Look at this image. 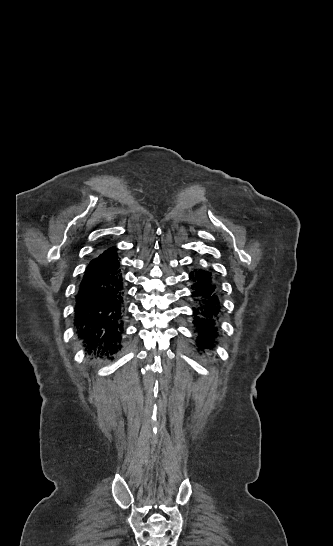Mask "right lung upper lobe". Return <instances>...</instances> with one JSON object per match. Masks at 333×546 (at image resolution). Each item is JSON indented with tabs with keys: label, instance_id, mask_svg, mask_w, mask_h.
<instances>
[{
	"label": "right lung upper lobe",
	"instance_id": "cb5924a9",
	"mask_svg": "<svg viewBox=\"0 0 333 546\" xmlns=\"http://www.w3.org/2000/svg\"><path fill=\"white\" fill-rule=\"evenodd\" d=\"M105 248H106V247H104V248H101V249H99V250L97 251V253H96V254H98V253L102 252V251H103V250H104Z\"/></svg>",
	"mask_w": 333,
	"mask_h": 546
}]
</instances>
